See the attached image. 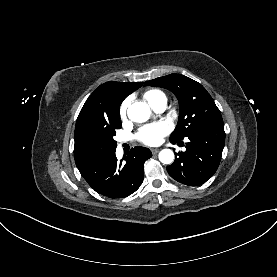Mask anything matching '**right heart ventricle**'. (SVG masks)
Listing matches in <instances>:
<instances>
[{
	"label": "right heart ventricle",
	"mask_w": 277,
	"mask_h": 277,
	"mask_svg": "<svg viewBox=\"0 0 277 277\" xmlns=\"http://www.w3.org/2000/svg\"><path fill=\"white\" fill-rule=\"evenodd\" d=\"M143 97L151 107H154L160 102H163V101L166 102L167 100L166 95L161 90H158V89L147 90L143 94Z\"/></svg>",
	"instance_id": "1"
}]
</instances>
